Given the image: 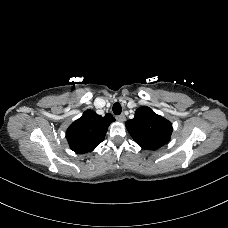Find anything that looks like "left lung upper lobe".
<instances>
[{
	"label": "left lung upper lobe",
	"mask_w": 228,
	"mask_h": 228,
	"mask_svg": "<svg viewBox=\"0 0 228 228\" xmlns=\"http://www.w3.org/2000/svg\"><path fill=\"white\" fill-rule=\"evenodd\" d=\"M125 125L134 141L148 150H156L168 143L173 131L170 121L147 106L138 108L135 117Z\"/></svg>",
	"instance_id": "5c2ea615"
}]
</instances>
